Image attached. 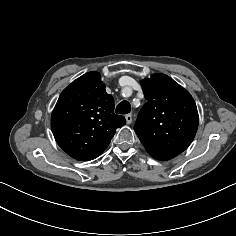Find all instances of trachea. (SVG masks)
<instances>
[{
    "mask_svg": "<svg viewBox=\"0 0 236 236\" xmlns=\"http://www.w3.org/2000/svg\"><path fill=\"white\" fill-rule=\"evenodd\" d=\"M130 111H131V106L128 101H122L116 107L117 114H128Z\"/></svg>",
    "mask_w": 236,
    "mask_h": 236,
    "instance_id": "trachea-1",
    "label": "trachea"
}]
</instances>
